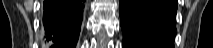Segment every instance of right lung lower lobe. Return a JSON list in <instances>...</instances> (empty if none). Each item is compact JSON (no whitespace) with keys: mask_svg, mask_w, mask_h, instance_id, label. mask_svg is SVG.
Here are the masks:
<instances>
[{"mask_svg":"<svg viewBox=\"0 0 213 48\" xmlns=\"http://www.w3.org/2000/svg\"><path fill=\"white\" fill-rule=\"evenodd\" d=\"M85 0H45L43 22L51 48H74Z\"/></svg>","mask_w":213,"mask_h":48,"instance_id":"right-lung-lower-lobe-1","label":"right lung lower lobe"}]
</instances>
